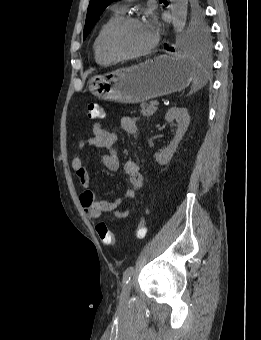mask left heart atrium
<instances>
[{
	"label": "left heart atrium",
	"instance_id": "obj_1",
	"mask_svg": "<svg viewBox=\"0 0 261 340\" xmlns=\"http://www.w3.org/2000/svg\"><path fill=\"white\" fill-rule=\"evenodd\" d=\"M144 25L146 26V28H147L149 31L153 32V30H154V28H155V22H154L152 19H148V20L144 23Z\"/></svg>",
	"mask_w": 261,
	"mask_h": 340
}]
</instances>
